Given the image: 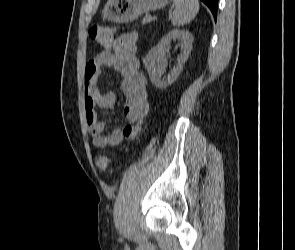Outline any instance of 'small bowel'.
<instances>
[{
	"label": "small bowel",
	"mask_w": 295,
	"mask_h": 250,
	"mask_svg": "<svg viewBox=\"0 0 295 250\" xmlns=\"http://www.w3.org/2000/svg\"><path fill=\"white\" fill-rule=\"evenodd\" d=\"M137 35L134 32L120 34L109 46L90 60L85 67V109L88 132L95 148L116 146L125 139H135L148 115L149 102L147 80L139 69L136 58ZM114 69L121 76V88L126 96L124 115L127 123L122 128L103 134L106 122L98 115V109H111L116 102L114 92L100 91L98 78L101 72Z\"/></svg>",
	"instance_id": "c3829d8e"
}]
</instances>
